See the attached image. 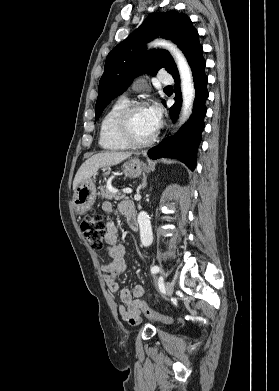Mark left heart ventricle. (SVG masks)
I'll use <instances>...</instances> for the list:
<instances>
[{
	"label": "left heart ventricle",
	"mask_w": 279,
	"mask_h": 391,
	"mask_svg": "<svg viewBox=\"0 0 279 391\" xmlns=\"http://www.w3.org/2000/svg\"><path fill=\"white\" fill-rule=\"evenodd\" d=\"M157 125L151 118L148 108H141L133 112L130 118L131 133L137 140L149 138L156 130Z\"/></svg>",
	"instance_id": "left-heart-ventricle-1"
}]
</instances>
